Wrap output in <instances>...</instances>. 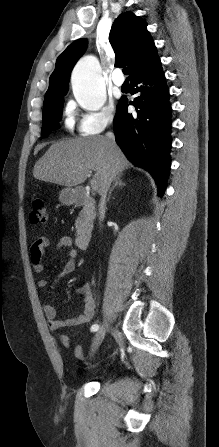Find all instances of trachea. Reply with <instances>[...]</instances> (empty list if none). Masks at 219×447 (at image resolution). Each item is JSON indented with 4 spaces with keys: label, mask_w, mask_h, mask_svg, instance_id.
Instances as JSON below:
<instances>
[{
    "label": "trachea",
    "mask_w": 219,
    "mask_h": 447,
    "mask_svg": "<svg viewBox=\"0 0 219 447\" xmlns=\"http://www.w3.org/2000/svg\"><path fill=\"white\" fill-rule=\"evenodd\" d=\"M123 73H124L125 75H128V74H129V69H128L127 67H124V68H123Z\"/></svg>",
    "instance_id": "1"
}]
</instances>
